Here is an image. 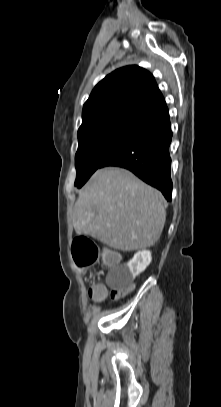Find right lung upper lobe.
Masks as SVG:
<instances>
[{
  "mask_svg": "<svg viewBox=\"0 0 221 407\" xmlns=\"http://www.w3.org/2000/svg\"><path fill=\"white\" fill-rule=\"evenodd\" d=\"M165 107L152 74L139 66L117 69L95 86L85 102L78 138L108 126L140 125Z\"/></svg>",
  "mask_w": 221,
  "mask_h": 407,
  "instance_id": "cb5924a9",
  "label": "right lung upper lobe"
}]
</instances>
